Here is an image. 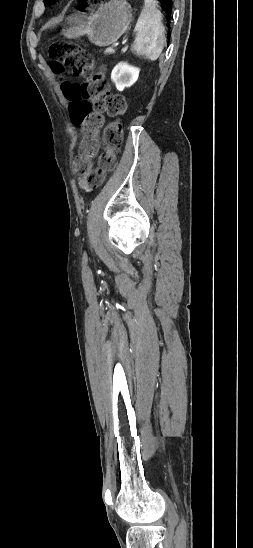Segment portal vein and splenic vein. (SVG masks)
<instances>
[{
	"instance_id": "18ae733b",
	"label": "portal vein and splenic vein",
	"mask_w": 253,
	"mask_h": 548,
	"mask_svg": "<svg viewBox=\"0 0 253 548\" xmlns=\"http://www.w3.org/2000/svg\"><path fill=\"white\" fill-rule=\"evenodd\" d=\"M122 50H123V51L126 50V45H123V46H122Z\"/></svg>"
}]
</instances>
